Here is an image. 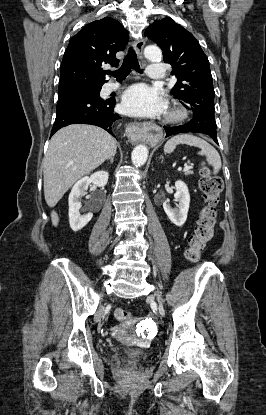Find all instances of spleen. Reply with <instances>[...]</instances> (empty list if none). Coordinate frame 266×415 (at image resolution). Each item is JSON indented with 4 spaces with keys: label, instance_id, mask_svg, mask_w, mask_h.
Instances as JSON below:
<instances>
[{
    "label": "spleen",
    "instance_id": "1",
    "mask_svg": "<svg viewBox=\"0 0 266 415\" xmlns=\"http://www.w3.org/2000/svg\"><path fill=\"white\" fill-rule=\"evenodd\" d=\"M179 144H187L200 148L201 151L198 154L206 156L207 162L214 168L215 173L221 168V158L219 153L204 139L190 134L176 135L167 141L164 146V151L166 153H171Z\"/></svg>",
    "mask_w": 266,
    "mask_h": 415
}]
</instances>
